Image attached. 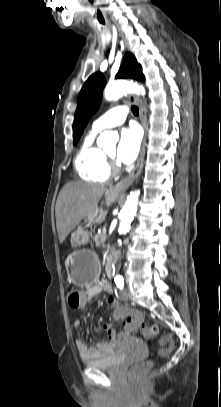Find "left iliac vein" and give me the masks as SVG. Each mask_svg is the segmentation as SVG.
Segmentation results:
<instances>
[{
  "instance_id": "left-iliac-vein-1",
  "label": "left iliac vein",
  "mask_w": 221,
  "mask_h": 407,
  "mask_svg": "<svg viewBox=\"0 0 221 407\" xmlns=\"http://www.w3.org/2000/svg\"><path fill=\"white\" fill-rule=\"evenodd\" d=\"M120 297L122 299V301L127 302L129 301V291L128 289H122L120 292Z\"/></svg>"
}]
</instances>
